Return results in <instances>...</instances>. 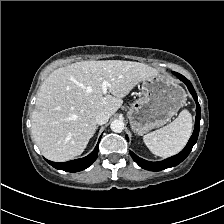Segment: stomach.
<instances>
[{
	"label": "stomach",
	"mask_w": 224,
	"mask_h": 224,
	"mask_svg": "<svg viewBox=\"0 0 224 224\" xmlns=\"http://www.w3.org/2000/svg\"><path fill=\"white\" fill-rule=\"evenodd\" d=\"M141 96L127 112L132 130L142 135L171 120L185 104V90L172 78L154 74L142 81Z\"/></svg>",
	"instance_id": "0dacf381"
}]
</instances>
